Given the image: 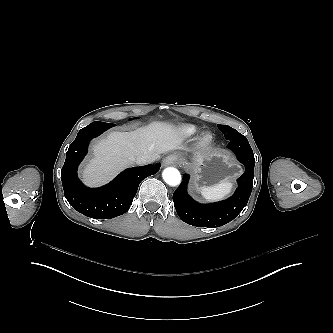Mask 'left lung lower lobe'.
I'll use <instances>...</instances> for the list:
<instances>
[{
	"label": "left lung lower lobe",
	"instance_id": "obj_1",
	"mask_svg": "<svg viewBox=\"0 0 333 333\" xmlns=\"http://www.w3.org/2000/svg\"><path fill=\"white\" fill-rule=\"evenodd\" d=\"M227 147L245 165L244 174L237 179L238 188L228 199L212 204H200L187 193L189 176H183V182L173 194L174 206L179 217L193 226L219 227L232 221L247 205L253 187L255 159L247 138L234 130L229 136Z\"/></svg>",
	"mask_w": 333,
	"mask_h": 333
}]
</instances>
